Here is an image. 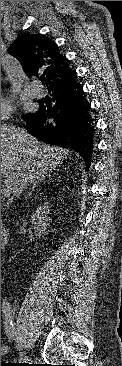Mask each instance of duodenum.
<instances>
[{"label": "duodenum", "mask_w": 122, "mask_h": 366, "mask_svg": "<svg viewBox=\"0 0 122 366\" xmlns=\"http://www.w3.org/2000/svg\"><path fill=\"white\" fill-rule=\"evenodd\" d=\"M7 239V234L5 232V229L2 226V222H1V245L6 241Z\"/></svg>", "instance_id": "410a0bca"}]
</instances>
